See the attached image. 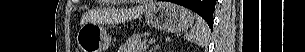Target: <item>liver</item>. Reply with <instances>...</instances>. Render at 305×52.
I'll use <instances>...</instances> for the list:
<instances>
[{"mask_svg":"<svg viewBox=\"0 0 305 52\" xmlns=\"http://www.w3.org/2000/svg\"><path fill=\"white\" fill-rule=\"evenodd\" d=\"M153 6V3L139 5L130 9H112L107 12V18L111 23H124L131 21L141 16ZM93 12H87L81 19V25H84L90 21H93Z\"/></svg>","mask_w":305,"mask_h":52,"instance_id":"1","label":"liver"}]
</instances>
